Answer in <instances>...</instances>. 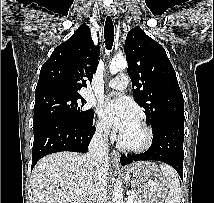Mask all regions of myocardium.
<instances>
[{
  "label": "myocardium",
  "instance_id": "f54148a6",
  "mask_svg": "<svg viewBox=\"0 0 214 203\" xmlns=\"http://www.w3.org/2000/svg\"><path fill=\"white\" fill-rule=\"evenodd\" d=\"M138 123L144 132L143 140L137 144H129V143H126L122 135H120L118 139V146L120 149L128 152L139 153V152L146 151L151 147L153 143L152 129L142 120H139Z\"/></svg>",
  "mask_w": 214,
  "mask_h": 203
}]
</instances>
